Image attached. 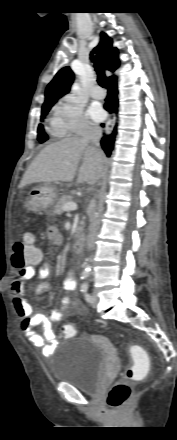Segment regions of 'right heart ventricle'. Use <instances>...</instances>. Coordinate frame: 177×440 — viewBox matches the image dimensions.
<instances>
[{
  "label": "right heart ventricle",
  "instance_id": "1",
  "mask_svg": "<svg viewBox=\"0 0 177 440\" xmlns=\"http://www.w3.org/2000/svg\"><path fill=\"white\" fill-rule=\"evenodd\" d=\"M51 132L53 133V134H57V132H56V130H55V128H54V126L52 125V129H51Z\"/></svg>",
  "mask_w": 177,
  "mask_h": 440
}]
</instances>
